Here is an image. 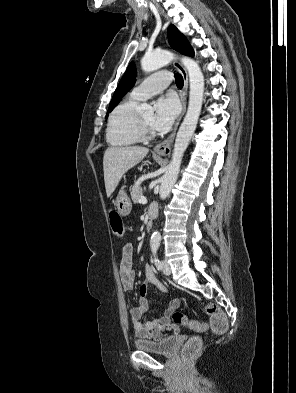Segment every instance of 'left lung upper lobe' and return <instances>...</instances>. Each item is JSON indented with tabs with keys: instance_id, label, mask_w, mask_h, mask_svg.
Segmentation results:
<instances>
[{
	"instance_id": "left-lung-upper-lobe-1",
	"label": "left lung upper lobe",
	"mask_w": 296,
	"mask_h": 393,
	"mask_svg": "<svg viewBox=\"0 0 296 393\" xmlns=\"http://www.w3.org/2000/svg\"><path fill=\"white\" fill-rule=\"evenodd\" d=\"M167 35H168L169 44L173 49L184 55H189V56L194 55V51L190 46V44L188 43L187 39L185 38L184 35H182L178 31V29L174 25H170L168 27ZM135 73H136L135 64L131 62L124 76L122 77L119 85L117 86V89L114 92L113 98L108 108L107 115L109 114V112H111L112 109L116 107V105L119 103L123 95L134 86Z\"/></svg>"
}]
</instances>
